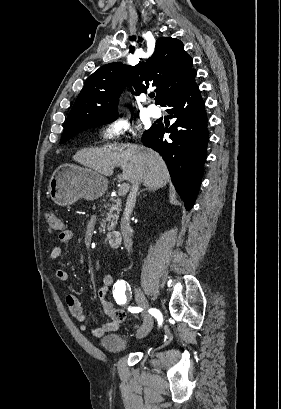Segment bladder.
<instances>
[{
  "instance_id": "bladder-1",
  "label": "bladder",
  "mask_w": 281,
  "mask_h": 409,
  "mask_svg": "<svg viewBox=\"0 0 281 409\" xmlns=\"http://www.w3.org/2000/svg\"><path fill=\"white\" fill-rule=\"evenodd\" d=\"M99 347L107 354H121L134 348V341L122 331H114L109 335H102Z\"/></svg>"
}]
</instances>
